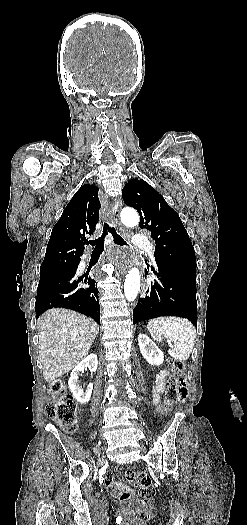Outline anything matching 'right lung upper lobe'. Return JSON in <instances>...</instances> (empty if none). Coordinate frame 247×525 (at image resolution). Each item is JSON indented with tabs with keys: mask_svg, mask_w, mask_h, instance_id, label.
Listing matches in <instances>:
<instances>
[{
	"mask_svg": "<svg viewBox=\"0 0 247 525\" xmlns=\"http://www.w3.org/2000/svg\"><path fill=\"white\" fill-rule=\"evenodd\" d=\"M100 206L94 185L85 184L74 194L53 227L40 269L57 258H76L83 253L85 234L95 231Z\"/></svg>",
	"mask_w": 247,
	"mask_h": 525,
	"instance_id": "1",
	"label": "right lung upper lobe"
}]
</instances>
